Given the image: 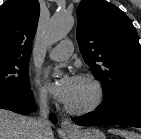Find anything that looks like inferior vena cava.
Instances as JSON below:
<instances>
[{
	"instance_id": "inferior-vena-cava-1",
	"label": "inferior vena cava",
	"mask_w": 141,
	"mask_h": 139,
	"mask_svg": "<svg viewBox=\"0 0 141 139\" xmlns=\"http://www.w3.org/2000/svg\"><path fill=\"white\" fill-rule=\"evenodd\" d=\"M51 131L47 100L44 95H41L39 100V116L35 120L33 139H48Z\"/></svg>"
}]
</instances>
